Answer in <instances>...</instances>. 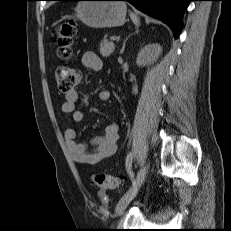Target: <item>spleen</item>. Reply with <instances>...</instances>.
Returning <instances> with one entry per match:
<instances>
[{"instance_id": "obj_1", "label": "spleen", "mask_w": 231, "mask_h": 231, "mask_svg": "<svg viewBox=\"0 0 231 231\" xmlns=\"http://www.w3.org/2000/svg\"><path fill=\"white\" fill-rule=\"evenodd\" d=\"M130 18L136 27H138L140 25V20L134 13L130 12Z\"/></svg>"}]
</instances>
